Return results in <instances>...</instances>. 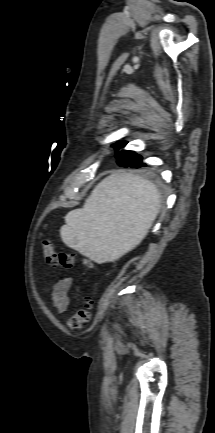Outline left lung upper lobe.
I'll list each match as a JSON object with an SVG mask.
<instances>
[{"label": "left lung upper lobe", "mask_w": 215, "mask_h": 433, "mask_svg": "<svg viewBox=\"0 0 215 433\" xmlns=\"http://www.w3.org/2000/svg\"><path fill=\"white\" fill-rule=\"evenodd\" d=\"M127 144V142L118 141L114 144V148L116 150V160L118 165L126 167L127 165L131 163H142V157L138 154H136L133 151H119L120 148L124 147ZM145 166V164H144Z\"/></svg>", "instance_id": "obj_1"}]
</instances>
